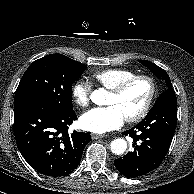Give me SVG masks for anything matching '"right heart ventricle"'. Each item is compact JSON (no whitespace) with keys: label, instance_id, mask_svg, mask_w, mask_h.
Returning a JSON list of instances; mask_svg holds the SVG:
<instances>
[{"label":"right heart ventricle","instance_id":"right-heart-ventricle-1","mask_svg":"<svg viewBox=\"0 0 194 194\" xmlns=\"http://www.w3.org/2000/svg\"><path fill=\"white\" fill-rule=\"evenodd\" d=\"M134 75L136 74L128 69H105L94 72L92 74V79L99 86L110 90L118 85L120 82Z\"/></svg>","mask_w":194,"mask_h":194}]
</instances>
